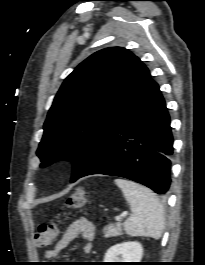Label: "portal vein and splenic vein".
Wrapping results in <instances>:
<instances>
[{
  "instance_id": "18ae733b",
  "label": "portal vein and splenic vein",
  "mask_w": 205,
  "mask_h": 265,
  "mask_svg": "<svg viewBox=\"0 0 205 265\" xmlns=\"http://www.w3.org/2000/svg\"><path fill=\"white\" fill-rule=\"evenodd\" d=\"M125 216H126V214H125V213H124V214H122L121 216H117V217H116V220H117V221H120L121 217H125Z\"/></svg>"
}]
</instances>
